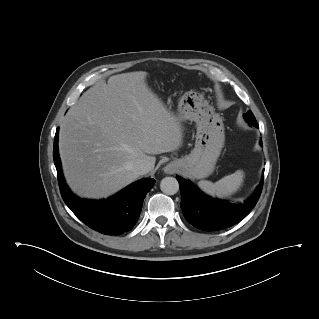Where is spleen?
Listing matches in <instances>:
<instances>
[{"label":"spleen","instance_id":"3e777b00","mask_svg":"<svg viewBox=\"0 0 319 319\" xmlns=\"http://www.w3.org/2000/svg\"><path fill=\"white\" fill-rule=\"evenodd\" d=\"M243 180L244 172L237 170L233 174L225 176L215 183L207 180L199 181L198 186L203 192L210 196L225 198L236 192L241 187Z\"/></svg>","mask_w":319,"mask_h":319}]
</instances>
